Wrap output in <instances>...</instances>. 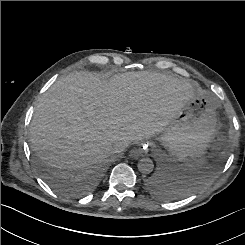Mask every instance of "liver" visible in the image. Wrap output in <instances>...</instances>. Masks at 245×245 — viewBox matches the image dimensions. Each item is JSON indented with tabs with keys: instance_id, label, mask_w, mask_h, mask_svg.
I'll list each match as a JSON object with an SVG mask.
<instances>
[{
	"instance_id": "1",
	"label": "liver",
	"mask_w": 245,
	"mask_h": 245,
	"mask_svg": "<svg viewBox=\"0 0 245 245\" xmlns=\"http://www.w3.org/2000/svg\"><path fill=\"white\" fill-rule=\"evenodd\" d=\"M196 94V84L156 72H128L109 81L88 72L57 80L41 97L30 143L54 167L77 170L102 162L122 141L162 133Z\"/></svg>"
}]
</instances>
